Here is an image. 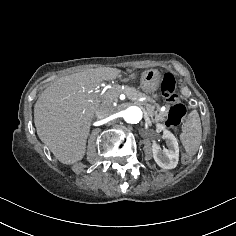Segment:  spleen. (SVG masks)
I'll list each match as a JSON object with an SVG mask.
<instances>
[{
    "label": "spleen",
    "instance_id": "1",
    "mask_svg": "<svg viewBox=\"0 0 236 236\" xmlns=\"http://www.w3.org/2000/svg\"><path fill=\"white\" fill-rule=\"evenodd\" d=\"M201 133V121L198 112L193 110L188 114L179 135L180 142L188 155L193 156L197 152L201 142Z\"/></svg>",
    "mask_w": 236,
    "mask_h": 236
}]
</instances>
